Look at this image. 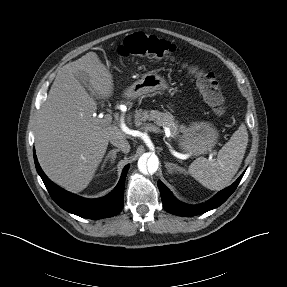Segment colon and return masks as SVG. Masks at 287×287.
Returning a JSON list of instances; mask_svg holds the SVG:
<instances>
[{
	"instance_id": "1",
	"label": "colon",
	"mask_w": 287,
	"mask_h": 287,
	"mask_svg": "<svg viewBox=\"0 0 287 287\" xmlns=\"http://www.w3.org/2000/svg\"><path fill=\"white\" fill-rule=\"evenodd\" d=\"M176 46L171 42L143 32L127 36L118 47L121 56H145L151 58H169L176 52ZM196 77L197 85L206 103L213 111L221 115L224 113V96L219 82L212 71L200 67H191Z\"/></svg>"
}]
</instances>
